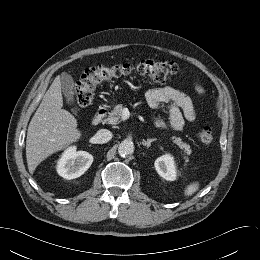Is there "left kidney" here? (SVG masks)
<instances>
[{"mask_svg": "<svg viewBox=\"0 0 260 260\" xmlns=\"http://www.w3.org/2000/svg\"><path fill=\"white\" fill-rule=\"evenodd\" d=\"M154 165L157 173L164 179L168 181L176 179V167L171 155L166 154L157 158Z\"/></svg>", "mask_w": 260, "mask_h": 260, "instance_id": "left-kidney-1", "label": "left kidney"}]
</instances>
